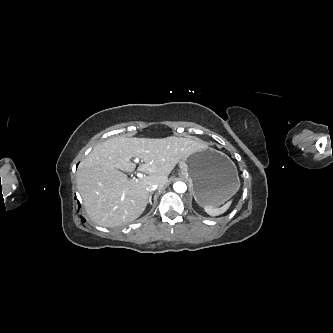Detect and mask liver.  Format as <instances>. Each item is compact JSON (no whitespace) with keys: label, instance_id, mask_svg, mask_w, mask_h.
Instances as JSON below:
<instances>
[{"label":"liver","instance_id":"1","mask_svg":"<svg viewBox=\"0 0 333 333\" xmlns=\"http://www.w3.org/2000/svg\"><path fill=\"white\" fill-rule=\"evenodd\" d=\"M207 145L201 140L170 136L154 138H110L97 144L80 162L77 187L89 217L103 227H117L137 219L146 209V187H163L176 164ZM142 178L129 179L123 172H133L136 165Z\"/></svg>","mask_w":333,"mask_h":333}]
</instances>
